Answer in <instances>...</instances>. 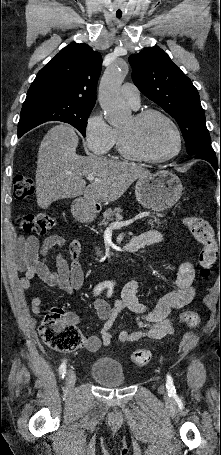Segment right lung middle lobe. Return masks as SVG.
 <instances>
[{
	"instance_id": "1",
	"label": "right lung middle lobe",
	"mask_w": 221,
	"mask_h": 455,
	"mask_svg": "<svg viewBox=\"0 0 221 455\" xmlns=\"http://www.w3.org/2000/svg\"><path fill=\"white\" fill-rule=\"evenodd\" d=\"M94 105L69 103H33L23 105L18 123V136L46 121H62L77 128L83 136Z\"/></svg>"
}]
</instances>
